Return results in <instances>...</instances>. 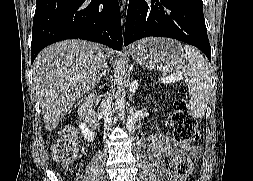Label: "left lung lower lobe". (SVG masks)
I'll return each instance as SVG.
<instances>
[{"mask_svg": "<svg viewBox=\"0 0 253 181\" xmlns=\"http://www.w3.org/2000/svg\"><path fill=\"white\" fill-rule=\"evenodd\" d=\"M148 36L196 46L211 61L202 0H129L124 45Z\"/></svg>", "mask_w": 253, "mask_h": 181, "instance_id": "1", "label": "left lung lower lobe"}]
</instances>
